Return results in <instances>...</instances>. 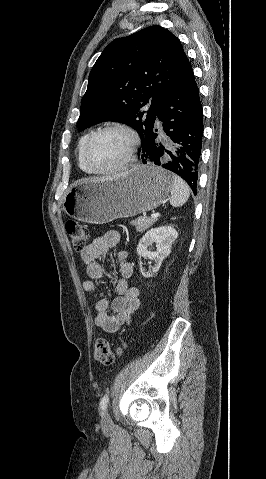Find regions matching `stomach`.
<instances>
[{
    "label": "stomach",
    "mask_w": 266,
    "mask_h": 479,
    "mask_svg": "<svg viewBox=\"0 0 266 479\" xmlns=\"http://www.w3.org/2000/svg\"><path fill=\"white\" fill-rule=\"evenodd\" d=\"M172 174L155 165H137L124 175L71 186L62 202L76 220L104 224L157 208L169 195Z\"/></svg>",
    "instance_id": "0dacf381"
}]
</instances>
